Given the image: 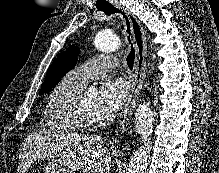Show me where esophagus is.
I'll list each match as a JSON object with an SVG mask.
<instances>
[{
    "label": "esophagus",
    "mask_w": 219,
    "mask_h": 173,
    "mask_svg": "<svg viewBox=\"0 0 219 173\" xmlns=\"http://www.w3.org/2000/svg\"><path fill=\"white\" fill-rule=\"evenodd\" d=\"M115 6L119 10L123 11L130 21L137 54L135 74L132 80L130 95L117 130L118 137L122 139L126 131L130 128L131 117L134 109L136 108L139 92L145 79L147 37L144 28L134 14L119 3L115 4Z\"/></svg>",
    "instance_id": "obj_1"
}]
</instances>
